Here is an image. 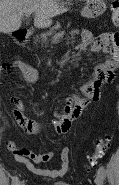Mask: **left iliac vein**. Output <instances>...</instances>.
<instances>
[{
    "instance_id": "4c4485c4",
    "label": "left iliac vein",
    "mask_w": 119,
    "mask_h": 185,
    "mask_svg": "<svg viewBox=\"0 0 119 185\" xmlns=\"http://www.w3.org/2000/svg\"><path fill=\"white\" fill-rule=\"evenodd\" d=\"M96 185H103V176L100 172L97 173L95 178Z\"/></svg>"
}]
</instances>
